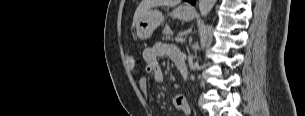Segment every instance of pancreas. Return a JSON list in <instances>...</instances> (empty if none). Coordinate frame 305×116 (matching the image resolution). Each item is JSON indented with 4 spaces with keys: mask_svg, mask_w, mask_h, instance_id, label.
<instances>
[{
    "mask_svg": "<svg viewBox=\"0 0 305 116\" xmlns=\"http://www.w3.org/2000/svg\"><path fill=\"white\" fill-rule=\"evenodd\" d=\"M162 34L163 40H169L173 36L174 32L170 29L168 25H165Z\"/></svg>",
    "mask_w": 305,
    "mask_h": 116,
    "instance_id": "pancreas-1",
    "label": "pancreas"
}]
</instances>
